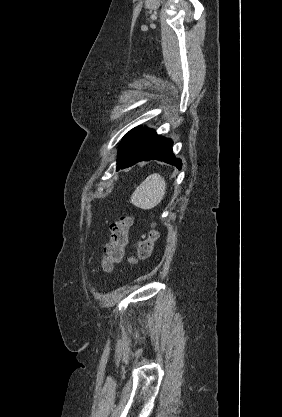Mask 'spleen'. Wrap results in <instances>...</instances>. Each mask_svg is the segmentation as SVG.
I'll return each mask as SVG.
<instances>
[{"instance_id":"spleen-1","label":"spleen","mask_w":282,"mask_h":417,"mask_svg":"<svg viewBox=\"0 0 282 417\" xmlns=\"http://www.w3.org/2000/svg\"><path fill=\"white\" fill-rule=\"evenodd\" d=\"M166 192V182L159 174V172H153L149 174L137 188H135L131 202L135 206H139V209H154L161 202Z\"/></svg>"}]
</instances>
